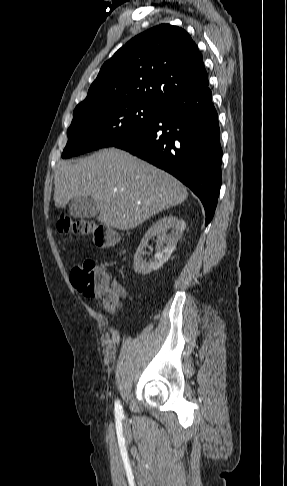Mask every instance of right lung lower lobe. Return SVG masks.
I'll use <instances>...</instances> for the list:
<instances>
[{"instance_id": "obj_1", "label": "right lung lower lobe", "mask_w": 287, "mask_h": 486, "mask_svg": "<svg viewBox=\"0 0 287 486\" xmlns=\"http://www.w3.org/2000/svg\"><path fill=\"white\" fill-rule=\"evenodd\" d=\"M114 147L175 176L200 198L206 225L212 220L221 187L222 149L208 85L162 104L141 133Z\"/></svg>"}]
</instances>
